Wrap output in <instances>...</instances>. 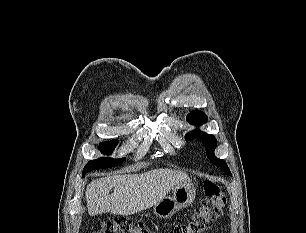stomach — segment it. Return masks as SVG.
Masks as SVG:
<instances>
[{
	"mask_svg": "<svg viewBox=\"0 0 306 233\" xmlns=\"http://www.w3.org/2000/svg\"><path fill=\"white\" fill-rule=\"evenodd\" d=\"M195 196L196 189L191 181L178 183L174 187L172 195L165 196L154 205V214L159 218H169L180 209L189 206Z\"/></svg>",
	"mask_w": 306,
	"mask_h": 233,
	"instance_id": "obj_1",
	"label": "stomach"
}]
</instances>
